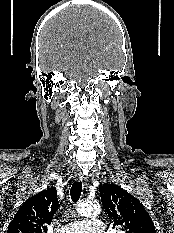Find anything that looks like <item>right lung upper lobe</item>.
I'll return each instance as SVG.
<instances>
[{"mask_svg": "<svg viewBox=\"0 0 174 233\" xmlns=\"http://www.w3.org/2000/svg\"><path fill=\"white\" fill-rule=\"evenodd\" d=\"M57 209L56 189L47 188L20 206L7 233H46L47 224L51 223Z\"/></svg>", "mask_w": 174, "mask_h": 233, "instance_id": "right-lung-upper-lobe-1", "label": "right lung upper lobe"}]
</instances>
